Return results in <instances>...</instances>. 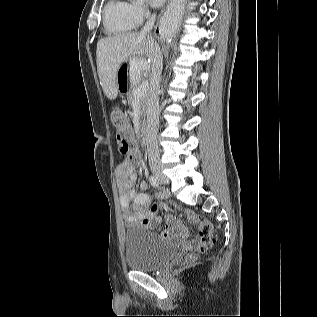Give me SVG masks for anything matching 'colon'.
<instances>
[{"mask_svg":"<svg viewBox=\"0 0 317 317\" xmlns=\"http://www.w3.org/2000/svg\"><path fill=\"white\" fill-rule=\"evenodd\" d=\"M111 122L116 131V141L120 152L127 156L126 163L133 166L136 162V140L133 129L123 112L114 110L111 113ZM157 206H153L155 212ZM215 242V235L211 229L203 232L198 239L191 240L188 243V254L186 260L191 262L195 259L197 253L206 251Z\"/></svg>","mask_w":317,"mask_h":317,"instance_id":"colon-1","label":"colon"}]
</instances>
